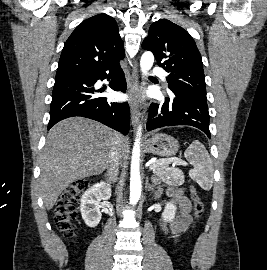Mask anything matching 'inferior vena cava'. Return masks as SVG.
<instances>
[{
  "instance_id": "602c4592",
  "label": "inferior vena cava",
  "mask_w": 267,
  "mask_h": 270,
  "mask_svg": "<svg viewBox=\"0 0 267 270\" xmlns=\"http://www.w3.org/2000/svg\"><path fill=\"white\" fill-rule=\"evenodd\" d=\"M121 158V147L119 145L118 138H116L111 148L110 158L107 167V175L110 182H115L117 180Z\"/></svg>"
}]
</instances>
